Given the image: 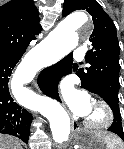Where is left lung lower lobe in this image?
Segmentation results:
<instances>
[{
	"label": "left lung lower lobe",
	"mask_w": 124,
	"mask_h": 149,
	"mask_svg": "<svg viewBox=\"0 0 124 149\" xmlns=\"http://www.w3.org/2000/svg\"><path fill=\"white\" fill-rule=\"evenodd\" d=\"M72 62H73V57H72V53H70L69 55L64 57L62 60H60L58 63L45 68L41 72L38 78V84L44 94L61 102V99L58 95L57 86H58L60 79L63 76L71 73ZM95 94L102 97L108 103V105L111 107L114 113V109H113L114 104L111 102L109 97L106 95L99 94V93H95ZM113 121L114 122L109 128V131L118 135L124 141L123 127H122L121 120L118 117V115L114 114Z\"/></svg>",
	"instance_id": "left-lung-lower-lobe-1"
}]
</instances>
